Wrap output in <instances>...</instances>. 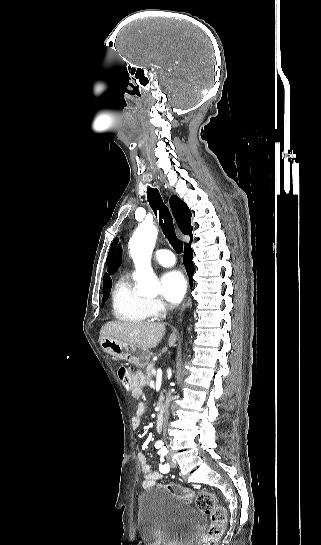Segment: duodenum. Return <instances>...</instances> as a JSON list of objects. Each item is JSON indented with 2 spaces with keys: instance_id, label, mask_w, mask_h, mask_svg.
<instances>
[{
  "instance_id": "obj_1",
  "label": "duodenum",
  "mask_w": 321,
  "mask_h": 545,
  "mask_svg": "<svg viewBox=\"0 0 321 545\" xmlns=\"http://www.w3.org/2000/svg\"><path fill=\"white\" fill-rule=\"evenodd\" d=\"M163 424H164V411L163 409H161L156 417V430L158 432L162 431Z\"/></svg>"
}]
</instances>
